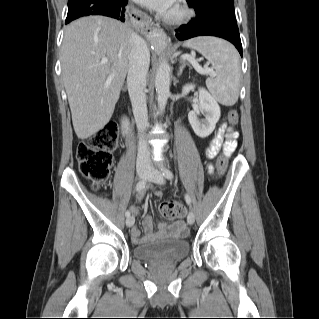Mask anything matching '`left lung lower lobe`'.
<instances>
[{
    "instance_id": "left-lung-lower-lobe-1",
    "label": "left lung lower lobe",
    "mask_w": 319,
    "mask_h": 319,
    "mask_svg": "<svg viewBox=\"0 0 319 319\" xmlns=\"http://www.w3.org/2000/svg\"><path fill=\"white\" fill-rule=\"evenodd\" d=\"M176 34L179 41L196 36H216L230 41L242 56V44L236 22L220 17L192 19L188 24L181 25Z\"/></svg>"
}]
</instances>
